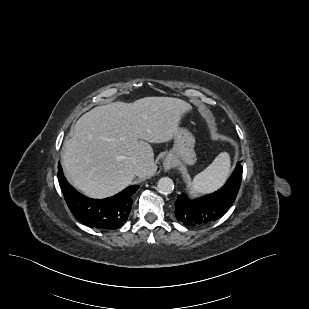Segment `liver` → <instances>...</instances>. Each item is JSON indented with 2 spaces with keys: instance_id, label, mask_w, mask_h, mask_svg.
I'll return each instance as SVG.
<instances>
[{
  "instance_id": "6515ba94",
  "label": "liver",
  "mask_w": 309,
  "mask_h": 309,
  "mask_svg": "<svg viewBox=\"0 0 309 309\" xmlns=\"http://www.w3.org/2000/svg\"><path fill=\"white\" fill-rule=\"evenodd\" d=\"M191 112L185 101L145 97L133 103L97 106L82 115L64 143L62 165L67 179L91 198L117 194L135 175L152 176L157 165L149 143L168 142L181 118ZM142 165L135 172L132 159Z\"/></svg>"
}]
</instances>
